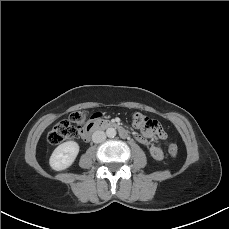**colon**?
Masks as SVG:
<instances>
[{
    "label": "colon",
    "instance_id": "obj_1",
    "mask_svg": "<svg viewBox=\"0 0 229 229\" xmlns=\"http://www.w3.org/2000/svg\"><path fill=\"white\" fill-rule=\"evenodd\" d=\"M92 116L91 113L85 110L72 112L67 121H60L54 125L49 133L48 141L53 145H57L67 139L77 137L82 132L87 119ZM133 124L138 128L151 129L155 132L161 130V126L156 120L150 119L140 113L134 114ZM168 152L172 157H176L178 146L175 143H170L168 145Z\"/></svg>",
    "mask_w": 229,
    "mask_h": 229
}]
</instances>
